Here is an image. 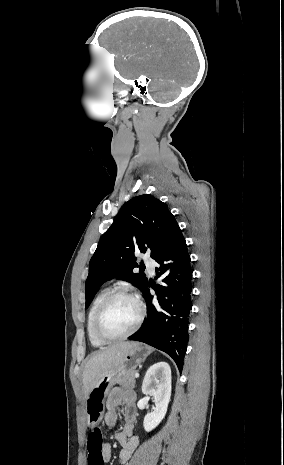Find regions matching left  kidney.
<instances>
[{"label": "left kidney", "instance_id": "1", "mask_svg": "<svg viewBox=\"0 0 284 465\" xmlns=\"http://www.w3.org/2000/svg\"><path fill=\"white\" fill-rule=\"evenodd\" d=\"M142 393L153 397L156 405L154 411L144 417L143 427L149 433L161 423L167 413L171 397V369L168 363L160 361L148 369L144 377Z\"/></svg>", "mask_w": 284, "mask_h": 465}]
</instances>
